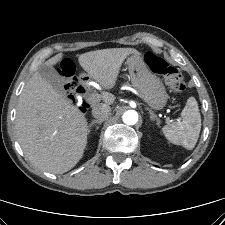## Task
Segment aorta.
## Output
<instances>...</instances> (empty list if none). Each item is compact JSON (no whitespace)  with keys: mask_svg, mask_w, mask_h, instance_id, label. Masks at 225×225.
I'll return each mask as SVG.
<instances>
[{"mask_svg":"<svg viewBox=\"0 0 225 225\" xmlns=\"http://www.w3.org/2000/svg\"><path fill=\"white\" fill-rule=\"evenodd\" d=\"M122 120L127 125H134L138 121V113L135 110H128L124 112Z\"/></svg>","mask_w":225,"mask_h":225,"instance_id":"1","label":"aorta"}]
</instances>
